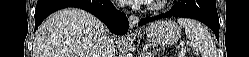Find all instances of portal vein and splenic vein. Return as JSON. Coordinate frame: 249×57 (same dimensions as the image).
Instances as JSON below:
<instances>
[{
    "instance_id": "obj_1",
    "label": "portal vein and splenic vein",
    "mask_w": 249,
    "mask_h": 57,
    "mask_svg": "<svg viewBox=\"0 0 249 57\" xmlns=\"http://www.w3.org/2000/svg\"><path fill=\"white\" fill-rule=\"evenodd\" d=\"M180 45H181V46H184V43H181Z\"/></svg>"
}]
</instances>
